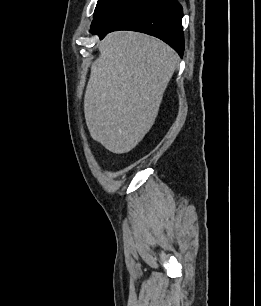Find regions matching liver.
<instances>
[{
    "mask_svg": "<svg viewBox=\"0 0 261 306\" xmlns=\"http://www.w3.org/2000/svg\"><path fill=\"white\" fill-rule=\"evenodd\" d=\"M84 97L91 137L110 152L131 151L157 117L178 55L163 41L117 31L99 44Z\"/></svg>",
    "mask_w": 261,
    "mask_h": 306,
    "instance_id": "liver-1",
    "label": "liver"
}]
</instances>
